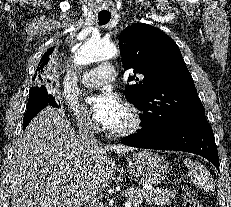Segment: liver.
<instances>
[{"label":"liver","mask_w":231,"mask_h":207,"mask_svg":"<svg viewBox=\"0 0 231 207\" xmlns=\"http://www.w3.org/2000/svg\"><path fill=\"white\" fill-rule=\"evenodd\" d=\"M11 159V207H80L112 181L116 165L109 150L84 147L60 109H43L17 140Z\"/></svg>","instance_id":"obj_1"}]
</instances>
